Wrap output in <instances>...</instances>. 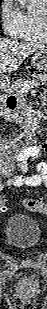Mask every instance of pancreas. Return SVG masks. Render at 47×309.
<instances>
[{
    "label": "pancreas",
    "instance_id": "pancreas-1",
    "mask_svg": "<svg viewBox=\"0 0 47 309\" xmlns=\"http://www.w3.org/2000/svg\"><path fill=\"white\" fill-rule=\"evenodd\" d=\"M40 81L42 85L47 84V75L44 73L35 74L33 75V78H27V79H19L10 87V90L14 93H17L20 95L21 101H24V103L21 104L20 109L16 110V112L13 115V120L20 124L22 128H28L31 127L29 116H32V112L28 109V106L26 104L27 99H25L26 91L28 88H24L23 84L30 83V82H37ZM23 94V95H21Z\"/></svg>",
    "mask_w": 47,
    "mask_h": 309
}]
</instances>
